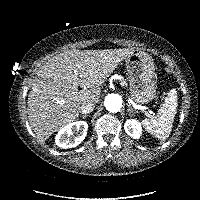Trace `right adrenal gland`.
I'll return each instance as SVG.
<instances>
[{
    "label": "right adrenal gland",
    "instance_id": "right-adrenal-gland-1",
    "mask_svg": "<svg viewBox=\"0 0 200 200\" xmlns=\"http://www.w3.org/2000/svg\"><path fill=\"white\" fill-rule=\"evenodd\" d=\"M89 116H90V114L82 115L81 117H82L83 119H86V118L89 117Z\"/></svg>",
    "mask_w": 200,
    "mask_h": 200
}]
</instances>
